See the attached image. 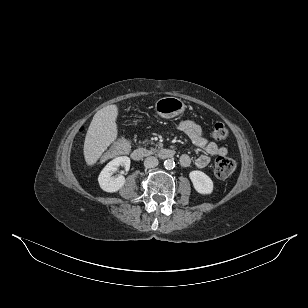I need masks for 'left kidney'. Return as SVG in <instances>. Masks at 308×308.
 Wrapping results in <instances>:
<instances>
[{
    "instance_id": "1",
    "label": "left kidney",
    "mask_w": 308,
    "mask_h": 308,
    "mask_svg": "<svg viewBox=\"0 0 308 308\" xmlns=\"http://www.w3.org/2000/svg\"><path fill=\"white\" fill-rule=\"evenodd\" d=\"M189 178L198 193L208 195L213 192V181L204 172L199 170L191 171Z\"/></svg>"
}]
</instances>
